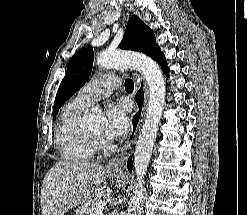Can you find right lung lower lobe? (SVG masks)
<instances>
[{
	"label": "right lung lower lobe",
	"mask_w": 247,
	"mask_h": 215,
	"mask_svg": "<svg viewBox=\"0 0 247 215\" xmlns=\"http://www.w3.org/2000/svg\"><path fill=\"white\" fill-rule=\"evenodd\" d=\"M127 166H128V169L130 170L131 169V158H129Z\"/></svg>",
	"instance_id": "1"
}]
</instances>
